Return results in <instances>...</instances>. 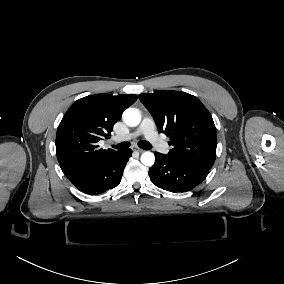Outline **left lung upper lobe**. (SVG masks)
Here are the masks:
<instances>
[{
  "mask_svg": "<svg viewBox=\"0 0 284 284\" xmlns=\"http://www.w3.org/2000/svg\"><path fill=\"white\" fill-rule=\"evenodd\" d=\"M158 126L170 137L168 156L211 169L216 158L217 134L210 112L195 96L181 91L139 95Z\"/></svg>",
  "mask_w": 284,
  "mask_h": 284,
  "instance_id": "obj_1",
  "label": "left lung upper lobe"
}]
</instances>
